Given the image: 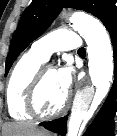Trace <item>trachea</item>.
<instances>
[{"label": "trachea", "instance_id": "1", "mask_svg": "<svg viewBox=\"0 0 117 136\" xmlns=\"http://www.w3.org/2000/svg\"><path fill=\"white\" fill-rule=\"evenodd\" d=\"M78 53H85V48H80L79 50H78Z\"/></svg>", "mask_w": 117, "mask_h": 136}]
</instances>
